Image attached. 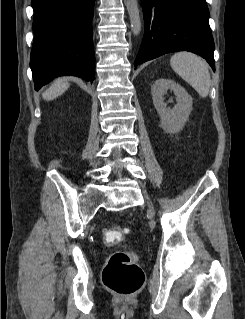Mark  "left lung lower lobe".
I'll return each mask as SVG.
<instances>
[{
    "mask_svg": "<svg viewBox=\"0 0 245 319\" xmlns=\"http://www.w3.org/2000/svg\"><path fill=\"white\" fill-rule=\"evenodd\" d=\"M145 33L135 67L174 51L194 52L215 71L214 41L205 0H141Z\"/></svg>",
    "mask_w": 245,
    "mask_h": 319,
    "instance_id": "1",
    "label": "left lung lower lobe"
}]
</instances>
